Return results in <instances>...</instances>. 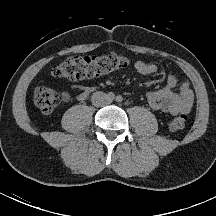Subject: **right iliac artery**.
I'll return each instance as SVG.
<instances>
[{
    "mask_svg": "<svg viewBox=\"0 0 216 216\" xmlns=\"http://www.w3.org/2000/svg\"><path fill=\"white\" fill-rule=\"evenodd\" d=\"M107 96L109 99H112V100L115 98V94L113 92H109Z\"/></svg>",
    "mask_w": 216,
    "mask_h": 216,
    "instance_id": "obj_1",
    "label": "right iliac artery"
}]
</instances>
